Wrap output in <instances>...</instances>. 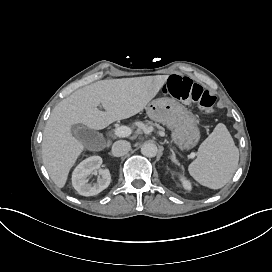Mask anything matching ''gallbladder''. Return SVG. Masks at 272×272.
I'll list each match as a JSON object with an SVG mask.
<instances>
[{
	"label": "gallbladder",
	"mask_w": 272,
	"mask_h": 272,
	"mask_svg": "<svg viewBox=\"0 0 272 272\" xmlns=\"http://www.w3.org/2000/svg\"><path fill=\"white\" fill-rule=\"evenodd\" d=\"M75 135L85 143L86 147L92 149L94 144L104 138L96 131L87 127H75Z\"/></svg>",
	"instance_id": "gallbladder-1"
}]
</instances>
